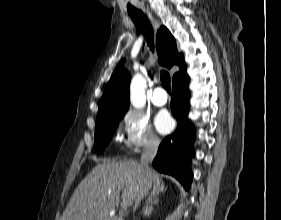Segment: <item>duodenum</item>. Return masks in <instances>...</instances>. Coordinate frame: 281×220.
<instances>
[{
  "label": "duodenum",
  "mask_w": 281,
  "mask_h": 220,
  "mask_svg": "<svg viewBox=\"0 0 281 220\" xmlns=\"http://www.w3.org/2000/svg\"><path fill=\"white\" fill-rule=\"evenodd\" d=\"M111 220H124V219L119 218V217H115V218H113V219H111Z\"/></svg>",
  "instance_id": "duodenum-1"
}]
</instances>
